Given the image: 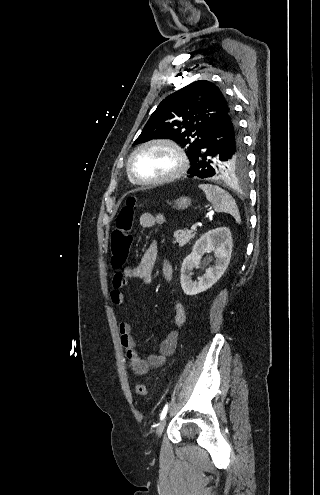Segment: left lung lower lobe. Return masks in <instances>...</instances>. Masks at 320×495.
<instances>
[{
    "label": "left lung lower lobe",
    "mask_w": 320,
    "mask_h": 495,
    "mask_svg": "<svg viewBox=\"0 0 320 495\" xmlns=\"http://www.w3.org/2000/svg\"><path fill=\"white\" fill-rule=\"evenodd\" d=\"M240 137L238 123L231 110L228 116L215 124L212 132L205 139L199 150L191 157L192 166L187 173L190 177L207 178L214 176L212 161L208 158L210 153L214 150L223 149L236 152L239 147Z\"/></svg>",
    "instance_id": "0a47b994"
}]
</instances>
